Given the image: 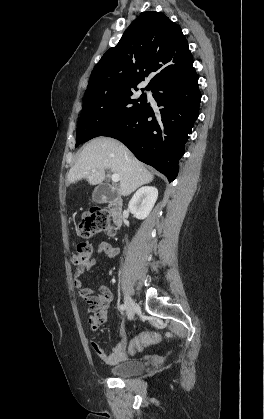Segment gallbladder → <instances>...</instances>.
I'll return each instance as SVG.
<instances>
[{"label":"gallbladder","mask_w":264,"mask_h":419,"mask_svg":"<svg viewBox=\"0 0 264 419\" xmlns=\"http://www.w3.org/2000/svg\"><path fill=\"white\" fill-rule=\"evenodd\" d=\"M108 190V187L104 184L97 186L92 194L93 201L96 203L104 202Z\"/></svg>","instance_id":"bac80fb5"}]
</instances>
